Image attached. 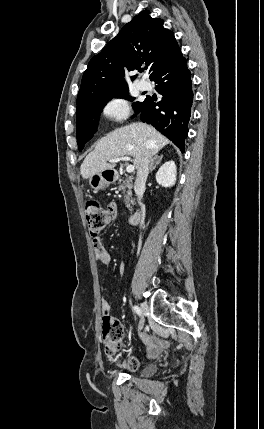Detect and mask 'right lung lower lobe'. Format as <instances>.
Returning <instances> with one entry per match:
<instances>
[{
    "label": "right lung lower lobe",
    "mask_w": 264,
    "mask_h": 429,
    "mask_svg": "<svg viewBox=\"0 0 264 429\" xmlns=\"http://www.w3.org/2000/svg\"><path fill=\"white\" fill-rule=\"evenodd\" d=\"M181 50L173 55L151 77L156 91L163 96L155 102L148 97L140 111L142 122L154 126L184 152V142L188 135L193 92L191 73Z\"/></svg>",
    "instance_id": "obj_1"
}]
</instances>
